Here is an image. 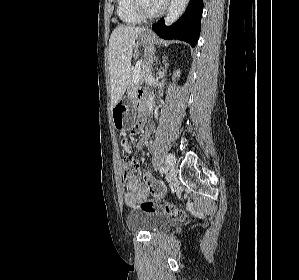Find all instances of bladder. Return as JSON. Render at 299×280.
Here are the masks:
<instances>
[{
  "mask_svg": "<svg viewBox=\"0 0 299 280\" xmlns=\"http://www.w3.org/2000/svg\"><path fill=\"white\" fill-rule=\"evenodd\" d=\"M127 226L132 230H143L156 234L166 230L170 219L161 213L133 211L127 217Z\"/></svg>",
  "mask_w": 299,
  "mask_h": 280,
  "instance_id": "obj_1",
  "label": "bladder"
}]
</instances>
